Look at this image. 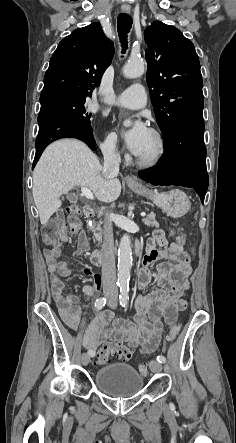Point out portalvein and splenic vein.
<instances>
[{"mask_svg": "<svg viewBox=\"0 0 236 443\" xmlns=\"http://www.w3.org/2000/svg\"><path fill=\"white\" fill-rule=\"evenodd\" d=\"M81 192H82V194H83L87 199H89V200H94V196H93L92 192H91L88 188L82 187V188H81ZM141 216H142V217H145V216H146L145 212H142V213H141Z\"/></svg>", "mask_w": 236, "mask_h": 443, "instance_id": "1", "label": "portal vein and splenic vein"}]
</instances>
